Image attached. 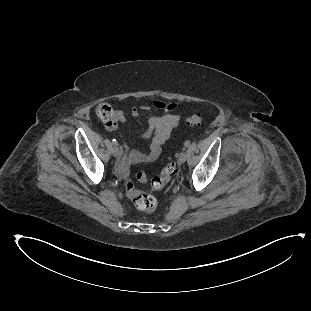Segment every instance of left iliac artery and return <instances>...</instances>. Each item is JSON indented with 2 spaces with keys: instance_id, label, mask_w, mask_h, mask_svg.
Returning a JSON list of instances; mask_svg holds the SVG:
<instances>
[{
  "instance_id": "obj_1",
  "label": "left iliac artery",
  "mask_w": 311,
  "mask_h": 311,
  "mask_svg": "<svg viewBox=\"0 0 311 311\" xmlns=\"http://www.w3.org/2000/svg\"><path fill=\"white\" fill-rule=\"evenodd\" d=\"M184 145L185 147H188L190 145V141H185Z\"/></svg>"
}]
</instances>
